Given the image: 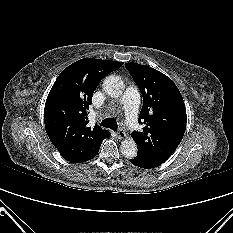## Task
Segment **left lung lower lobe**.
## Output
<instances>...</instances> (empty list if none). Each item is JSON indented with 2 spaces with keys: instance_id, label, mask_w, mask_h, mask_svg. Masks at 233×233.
<instances>
[{
  "instance_id": "0a47b994",
  "label": "left lung lower lobe",
  "mask_w": 233,
  "mask_h": 233,
  "mask_svg": "<svg viewBox=\"0 0 233 233\" xmlns=\"http://www.w3.org/2000/svg\"><path fill=\"white\" fill-rule=\"evenodd\" d=\"M130 162L132 164H134L135 166L145 168V169H151V168L156 167L155 165H153V164H151V163H149V162H147V161H145V160H143V159H141V158H139L137 156L130 159Z\"/></svg>"
}]
</instances>
